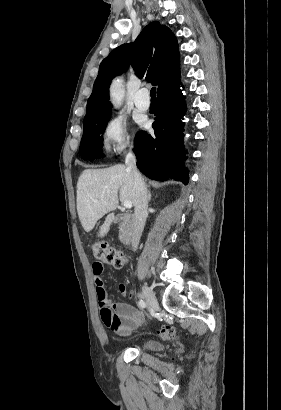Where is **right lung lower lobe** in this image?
Returning a JSON list of instances; mask_svg holds the SVG:
<instances>
[{
	"label": "right lung lower lobe",
	"mask_w": 281,
	"mask_h": 410,
	"mask_svg": "<svg viewBox=\"0 0 281 410\" xmlns=\"http://www.w3.org/2000/svg\"><path fill=\"white\" fill-rule=\"evenodd\" d=\"M182 86V85H181ZM180 83L157 94L153 123L154 135L139 132L135 138L137 167L151 179L174 178L188 183V170L183 167V116L185 100Z\"/></svg>",
	"instance_id": "obj_1"
}]
</instances>
